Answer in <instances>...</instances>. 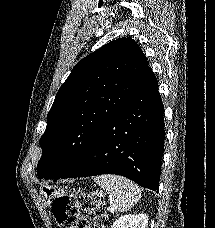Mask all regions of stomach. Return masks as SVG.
I'll use <instances>...</instances> for the list:
<instances>
[{"label": "stomach", "instance_id": "stomach-1", "mask_svg": "<svg viewBox=\"0 0 215 228\" xmlns=\"http://www.w3.org/2000/svg\"><path fill=\"white\" fill-rule=\"evenodd\" d=\"M40 196L48 206V208H53V202L59 196H68V188H56V186H41Z\"/></svg>", "mask_w": 215, "mask_h": 228}]
</instances>
